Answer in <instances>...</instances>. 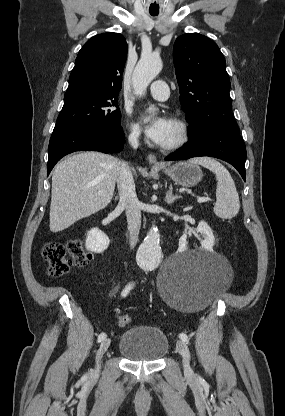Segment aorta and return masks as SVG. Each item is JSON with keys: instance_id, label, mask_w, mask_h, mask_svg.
<instances>
[{"instance_id": "obj_1", "label": "aorta", "mask_w": 285, "mask_h": 416, "mask_svg": "<svg viewBox=\"0 0 285 416\" xmlns=\"http://www.w3.org/2000/svg\"><path fill=\"white\" fill-rule=\"evenodd\" d=\"M161 69L162 61L159 57L155 55L142 56L132 76L134 93L140 96L144 94L148 85L160 73ZM153 110V108H149V111ZM159 241L160 234L158 228L152 225L136 255L137 264L141 269L151 271L159 266L161 262Z\"/></svg>"}]
</instances>
